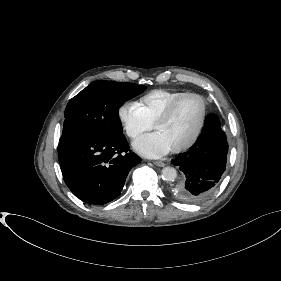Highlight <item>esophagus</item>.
Returning <instances> with one entry per match:
<instances>
[{
	"mask_svg": "<svg viewBox=\"0 0 281 281\" xmlns=\"http://www.w3.org/2000/svg\"><path fill=\"white\" fill-rule=\"evenodd\" d=\"M153 164L156 165V166H158V167H163V166H165V163H164V162H161V161H154Z\"/></svg>",
	"mask_w": 281,
	"mask_h": 281,
	"instance_id": "esophagus-1",
	"label": "esophagus"
}]
</instances>
